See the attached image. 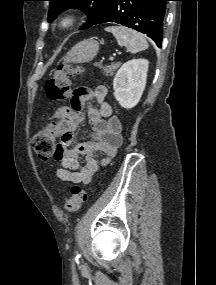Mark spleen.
<instances>
[{
    "label": "spleen",
    "mask_w": 216,
    "mask_h": 285,
    "mask_svg": "<svg viewBox=\"0 0 216 285\" xmlns=\"http://www.w3.org/2000/svg\"><path fill=\"white\" fill-rule=\"evenodd\" d=\"M107 32H111L116 38L117 43L125 47L130 53H137L148 48V42L144 36L132 29L122 26L106 27Z\"/></svg>",
    "instance_id": "spleen-1"
}]
</instances>
